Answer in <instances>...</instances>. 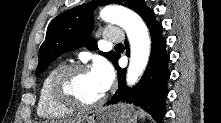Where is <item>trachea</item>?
Here are the masks:
<instances>
[{
	"instance_id": "1",
	"label": "trachea",
	"mask_w": 221,
	"mask_h": 123,
	"mask_svg": "<svg viewBox=\"0 0 221 123\" xmlns=\"http://www.w3.org/2000/svg\"><path fill=\"white\" fill-rule=\"evenodd\" d=\"M116 46H117V47H122L123 44L119 43V44H117Z\"/></svg>"
}]
</instances>
